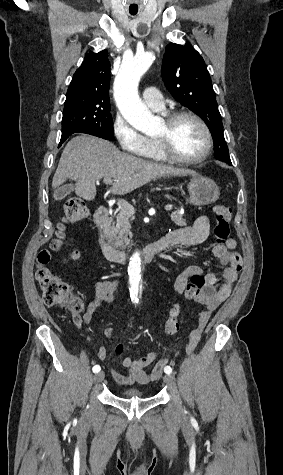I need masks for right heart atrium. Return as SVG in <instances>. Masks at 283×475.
<instances>
[{
    "instance_id": "right-heart-atrium-1",
    "label": "right heart atrium",
    "mask_w": 283,
    "mask_h": 475,
    "mask_svg": "<svg viewBox=\"0 0 283 475\" xmlns=\"http://www.w3.org/2000/svg\"><path fill=\"white\" fill-rule=\"evenodd\" d=\"M111 130L122 155H148L149 139L139 133L130 122L119 112L113 118Z\"/></svg>"
}]
</instances>
